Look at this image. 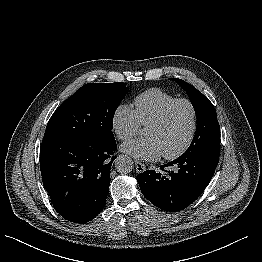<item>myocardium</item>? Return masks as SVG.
<instances>
[{
    "instance_id": "obj_1",
    "label": "myocardium",
    "mask_w": 262,
    "mask_h": 262,
    "mask_svg": "<svg viewBox=\"0 0 262 262\" xmlns=\"http://www.w3.org/2000/svg\"><path fill=\"white\" fill-rule=\"evenodd\" d=\"M181 103H185L189 106L190 110H191V128L188 134V137L185 141V143L174 153L172 154H163V158L166 160H175L177 158H179L180 156H182L191 146L194 137H195V133L197 130V122H198V113H197V108L195 106V104L186 98H180V99H176L174 101H172L171 103H169L168 105H166L163 110L160 112V114L153 119L148 126H160L162 125L169 113L171 112V110L178 104Z\"/></svg>"
}]
</instances>
